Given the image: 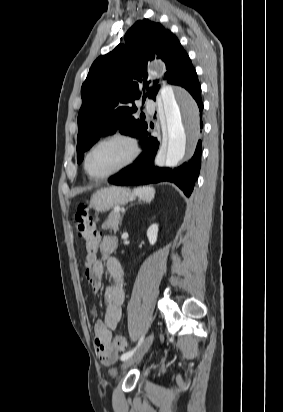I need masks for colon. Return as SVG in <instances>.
Segmentation results:
<instances>
[{
    "mask_svg": "<svg viewBox=\"0 0 283 412\" xmlns=\"http://www.w3.org/2000/svg\"><path fill=\"white\" fill-rule=\"evenodd\" d=\"M74 229L79 239L84 243L89 254H94L98 249L97 233L94 228L93 219L86 205H79L73 215ZM128 348L126 339L121 335H116L110 348L105 350V354L125 351Z\"/></svg>",
    "mask_w": 283,
    "mask_h": 412,
    "instance_id": "5ec220e1",
    "label": "colon"
}]
</instances>
